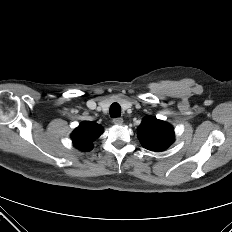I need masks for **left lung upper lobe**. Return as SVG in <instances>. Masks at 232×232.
I'll return each instance as SVG.
<instances>
[{
	"label": "left lung upper lobe",
	"instance_id": "left-lung-upper-lobe-1",
	"mask_svg": "<svg viewBox=\"0 0 232 232\" xmlns=\"http://www.w3.org/2000/svg\"><path fill=\"white\" fill-rule=\"evenodd\" d=\"M137 133L142 146L152 151H163L174 141L172 126L153 117H145Z\"/></svg>",
	"mask_w": 232,
	"mask_h": 232
}]
</instances>
